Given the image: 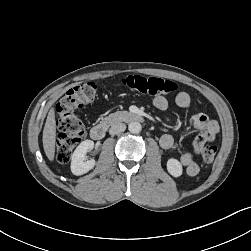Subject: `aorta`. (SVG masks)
Masks as SVG:
<instances>
[{
  "label": "aorta",
  "instance_id": "aorta-1",
  "mask_svg": "<svg viewBox=\"0 0 251 251\" xmlns=\"http://www.w3.org/2000/svg\"><path fill=\"white\" fill-rule=\"evenodd\" d=\"M128 130L132 134H138V133L141 132L142 126H141V124L139 122L132 121L128 125Z\"/></svg>",
  "mask_w": 251,
  "mask_h": 251
}]
</instances>
